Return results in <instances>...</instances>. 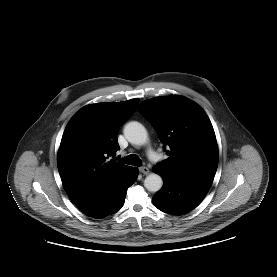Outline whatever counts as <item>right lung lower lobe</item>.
<instances>
[{"label":"right lung lower lobe","instance_id":"98d812e1","mask_svg":"<svg viewBox=\"0 0 277 277\" xmlns=\"http://www.w3.org/2000/svg\"><path fill=\"white\" fill-rule=\"evenodd\" d=\"M138 169L131 167L93 200L77 205L87 216L103 218L118 211L125 200L126 191L137 179Z\"/></svg>","mask_w":277,"mask_h":277}]
</instances>
